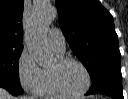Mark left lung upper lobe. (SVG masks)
Returning a JSON list of instances; mask_svg holds the SVG:
<instances>
[{
	"instance_id": "1",
	"label": "left lung upper lobe",
	"mask_w": 128,
	"mask_h": 99,
	"mask_svg": "<svg viewBox=\"0 0 128 99\" xmlns=\"http://www.w3.org/2000/svg\"><path fill=\"white\" fill-rule=\"evenodd\" d=\"M59 24L91 79L104 67H121L112 15L99 0H56Z\"/></svg>"
}]
</instances>
